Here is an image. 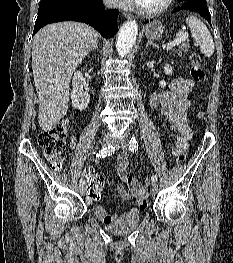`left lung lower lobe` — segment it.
Wrapping results in <instances>:
<instances>
[{
    "mask_svg": "<svg viewBox=\"0 0 233 263\" xmlns=\"http://www.w3.org/2000/svg\"><path fill=\"white\" fill-rule=\"evenodd\" d=\"M179 10H191L198 12L202 17H204L211 25V15L208 10L206 3H196V2H182L181 6L175 8L173 11ZM146 23V22H145Z\"/></svg>",
    "mask_w": 233,
    "mask_h": 263,
    "instance_id": "1",
    "label": "left lung lower lobe"
}]
</instances>
